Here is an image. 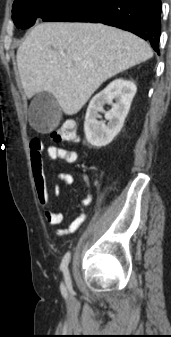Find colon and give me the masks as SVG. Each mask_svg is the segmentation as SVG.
<instances>
[{
	"label": "colon",
	"mask_w": 171,
	"mask_h": 337,
	"mask_svg": "<svg viewBox=\"0 0 171 337\" xmlns=\"http://www.w3.org/2000/svg\"><path fill=\"white\" fill-rule=\"evenodd\" d=\"M51 138L55 142H77L79 140V134L77 132L75 121H64L58 129L51 133Z\"/></svg>",
	"instance_id": "colon-1"
}]
</instances>
